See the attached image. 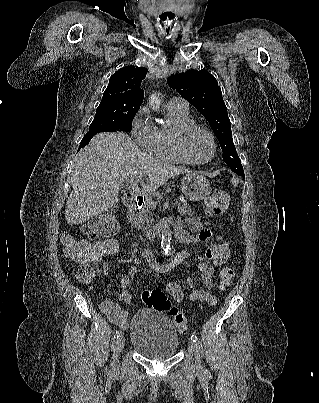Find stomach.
Returning <instances> with one entry per match:
<instances>
[{"label": "stomach", "mask_w": 319, "mask_h": 403, "mask_svg": "<svg viewBox=\"0 0 319 403\" xmlns=\"http://www.w3.org/2000/svg\"><path fill=\"white\" fill-rule=\"evenodd\" d=\"M181 191L188 200L197 202L210 194L211 186L205 177L193 173L183 177L181 180Z\"/></svg>", "instance_id": "stomach-1"}]
</instances>
